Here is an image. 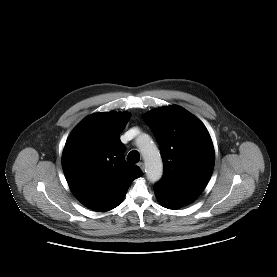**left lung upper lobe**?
Listing matches in <instances>:
<instances>
[{"instance_id": "left-lung-upper-lobe-1", "label": "left lung upper lobe", "mask_w": 277, "mask_h": 277, "mask_svg": "<svg viewBox=\"0 0 277 277\" xmlns=\"http://www.w3.org/2000/svg\"><path fill=\"white\" fill-rule=\"evenodd\" d=\"M144 120L162 154L164 173L158 184L177 192L200 195L215 162L206 127L180 106L155 109Z\"/></svg>"}]
</instances>
